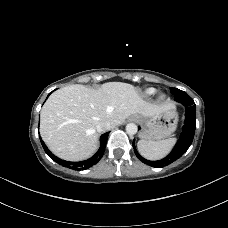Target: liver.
<instances>
[{
	"instance_id": "1",
	"label": "liver",
	"mask_w": 228,
	"mask_h": 228,
	"mask_svg": "<svg viewBox=\"0 0 228 228\" xmlns=\"http://www.w3.org/2000/svg\"><path fill=\"white\" fill-rule=\"evenodd\" d=\"M171 106L145 101L140 91L128 83L108 82L97 90L69 85L52 93L42 107L40 134L55 155L79 161L97 150L100 123L109 122L115 127L131 115L149 118Z\"/></svg>"
}]
</instances>
